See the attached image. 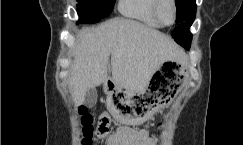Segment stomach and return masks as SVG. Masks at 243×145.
<instances>
[{
  "label": "stomach",
  "mask_w": 243,
  "mask_h": 145,
  "mask_svg": "<svg viewBox=\"0 0 243 145\" xmlns=\"http://www.w3.org/2000/svg\"><path fill=\"white\" fill-rule=\"evenodd\" d=\"M186 77L185 68L171 62H164L147 82L144 92H132L106 80L104 90L108 94L107 106L112 116L124 124H137L154 113H159L158 106L176 99L178 88L183 87L182 78ZM164 87V88H150Z\"/></svg>",
  "instance_id": "1"
}]
</instances>
